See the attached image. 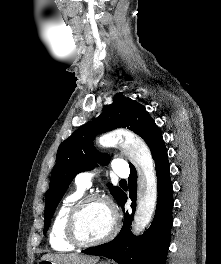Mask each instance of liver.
I'll return each mask as SVG.
<instances>
[{
    "label": "liver",
    "instance_id": "obj_1",
    "mask_svg": "<svg viewBox=\"0 0 221 264\" xmlns=\"http://www.w3.org/2000/svg\"><path fill=\"white\" fill-rule=\"evenodd\" d=\"M41 260H50L58 264H96L98 257H89L77 254H45Z\"/></svg>",
    "mask_w": 221,
    "mask_h": 264
}]
</instances>
